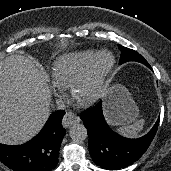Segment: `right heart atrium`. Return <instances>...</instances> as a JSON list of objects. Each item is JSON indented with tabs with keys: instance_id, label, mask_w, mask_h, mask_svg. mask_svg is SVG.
<instances>
[{
	"instance_id": "right-heart-atrium-1",
	"label": "right heart atrium",
	"mask_w": 171,
	"mask_h": 171,
	"mask_svg": "<svg viewBox=\"0 0 171 171\" xmlns=\"http://www.w3.org/2000/svg\"><path fill=\"white\" fill-rule=\"evenodd\" d=\"M53 92L56 97L61 98L64 95L65 89L63 86L53 83L52 86Z\"/></svg>"
}]
</instances>
